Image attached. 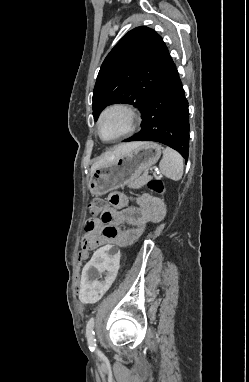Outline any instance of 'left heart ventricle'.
Segmentation results:
<instances>
[{
    "instance_id": "left-heart-ventricle-1",
    "label": "left heart ventricle",
    "mask_w": 249,
    "mask_h": 382,
    "mask_svg": "<svg viewBox=\"0 0 249 382\" xmlns=\"http://www.w3.org/2000/svg\"><path fill=\"white\" fill-rule=\"evenodd\" d=\"M126 129V118L120 112L107 115L101 123V133L105 138L114 137Z\"/></svg>"
}]
</instances>
